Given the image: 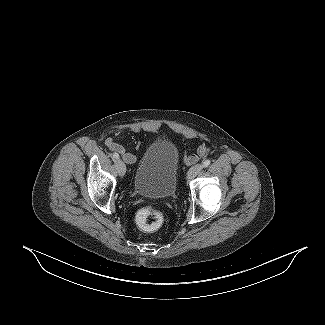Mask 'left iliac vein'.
<instances>
[{"label": "left iliac vein", "instance_id": "obj_1", "mask_svg": "<svg viewBox=\"0 0 325 325\" xmlns=\"http://www.w3.org/2000/svg\"><path fill=\"white\" fill-rule=\"evenodd\" d=\"M203 169L202 164H196L193 167H191L187 173V179L191 180L194 177H196Z\"/></svg>", "mask_w": 325, "mask_h": 325}]
</instances>
